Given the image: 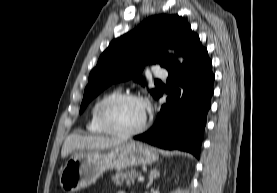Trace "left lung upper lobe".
<instances>
[{
    "instance_id": "obj_1",
    "label": "left lung upper lobe",
    "mask_w": 277,
    "mask_h": 193,
    "mask_svg": "<svg viewBox=\"0 0 277 193\" xmlns=\"http://www.w3.org/2000/svg\"><path fill=\"white\" fill-rule=\"evenodd\" d=\"M195 36L182 17L162 14L146 19L133 31L113 40L89 75L80 113L112 83L135 77V81L144 86L140 73L145 64L158 63L167 70L176 65V57L167 52L162 54L161 50L165 47L173 48L184 56L189 42ZM151 93L158 98L161 91L154 89Z\"/></svg>"
}]
</instances>
